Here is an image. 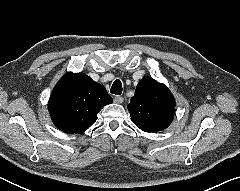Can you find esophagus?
<instances>
[{
    "label": "esophagus",
    "instance_id": "1",
    "mask_svg": "<svg viewBox=\"0 0 240 191\" xmlns=\"http://www.w3.org/2000/svg\"><path fill=\"white\" fill-rule=\"evenodd\" d=\"M114 102L117 103V104H120L123 102V97L121 96H115L114 97Z\"/></svg>",
    "mask_w": 240,
    "mask_h": 191
}]
</instances>
